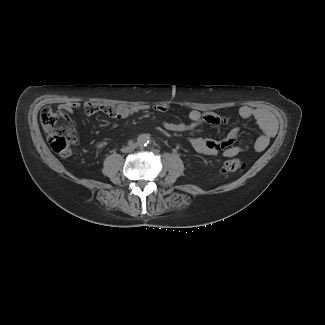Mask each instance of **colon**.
<instances>
[{"instance_id": "colon-1", "label": "colon", "mask_w": 325, "mask_h": 325, "mask_svg": "<svg viewBox=\"0 0 325 325\" xmlns=\"http://www.w3.org/2000/svg\"><path fill=\"white\" fill-rule=\"evenodd\" d=\"M40 121L52 150L63 157L69 156L77 139L64 115L60 111L44 107L40 113ZM244 167L240 159L231 158L223 162L221 171L231 173L240 171Z\"/></svg>"}]
</instances>
